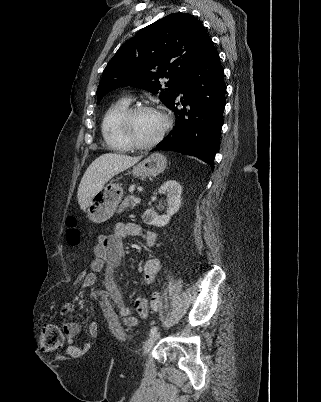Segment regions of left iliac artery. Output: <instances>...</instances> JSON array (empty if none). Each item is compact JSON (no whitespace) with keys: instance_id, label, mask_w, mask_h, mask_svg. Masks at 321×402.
I'll use <instances>...</instances> for the list:
<instances>
[{"instance_id":"1","label":"left iliac artery","mask_w":321,"mask_h":402,"mask_svg":"<svg viewBox=\"0 0 321 402\" xmlns=\"http://www.w3.org/2000/svg\"><path fill=\"white\" fill-rule=\"evenodd\" d=\"M156 331H157V327H156V326H153V327L151 328V330H150V335L155 334Z\"/></svg>"}]
</instances>
